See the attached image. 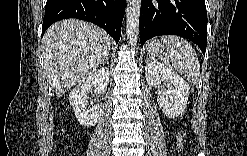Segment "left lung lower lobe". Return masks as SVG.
<instances>
[{
	"mask_svg": "<svg viewBox=\"0 0 247 156\" xmlns=\"http://www.w3.org/2000/svg\"><path fill=\"white\" fill-rule=\"evenodd\" d=\"M140 42L159 35H179L196 43L205 55L207 12L204 0H142Z\"/></svg>",
	"mask_w": 247,
	"mask_h": 156,
	"instance_id": "obj_1",
	"label": "left lung lower lobe"
}]
</instances>
